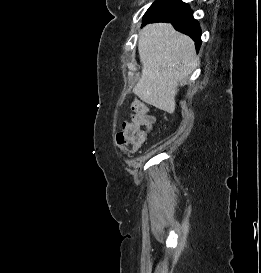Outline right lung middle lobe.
I'll return each mask as SVG.
<instances>
[{"instance_id":"dd1d6c3e","label":"right lung middle lobe","mask_w":261,"mask_h":273,"mask_svg":"<svg viewBox=\"0 0 261 273\" xmlns=\"http://www.w3.org/2000/svg\"><path fill=\"white\" fill-rule=\"evenodd\" d=\"M168 2H169L168 0H157V1H155L152 4V6L145 13L144 18L152 17V16H158V15H161L164 12L170 10Z\"/></svg>"}]
</instances>
